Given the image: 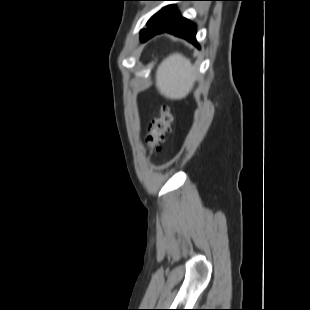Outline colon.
<instances>
[{"mask_svg": "<svg viewBox=\"0 0 310 310\" xmlns=\"http://www.w3.org/2000/svg\"><path fill=\"white\" fill-rule=\"evenodd\" d=\"M173 120L174 115L172 110L164 106L160 109L158 116L151 121L149 132L146 136V146L150 153L156 151L164 141Z\"/></svg>", "mask_w": 310, "mask_h": 310, "instance_id": "colon-1", "label": "colon"}]
</instances>
